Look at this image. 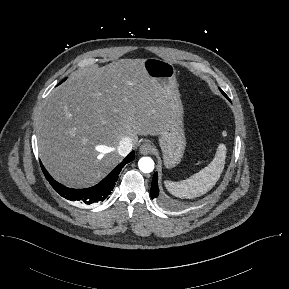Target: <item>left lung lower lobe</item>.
Wrapping results in <instances>:
<instances>
[{
    "label": "left lung lower lobe",
    "mask_w": 289,
    "mask_h": 289,
    "mask_svg": "<svg viewBox=\"0 0 289 289\" xmlns=\"http://www.w3.org/2000/svg\"><path fill=\"white\" fill-rule=\"evenodd\" d=\"M222 93L224 94L225 97H227V95L223 91ZM158 195H159L158 175L157 172H155L151 184V198L152 199L157 198Z\"/></svg>",
    "instance_id": "obj_1"
}]
</instances>
